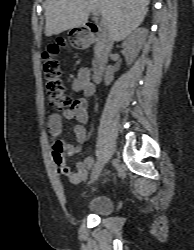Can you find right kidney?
Masks as SVG:
<instances>
[{
	"instance_id": "1",
	"label": "right kidney",
	"mask_w": 194,
	"mask_h": 250,
	"mask_svg": "<svg viewBox=\"0 0 194 250\" xmlns=\"http://www.w3.org/2000/svg\"><path fill=\"white\" fill-rule=\"evenodd\" d=\"M146 36L145 29L135 30L123 43V54L126 58L127 65H130L138 56V53L142 49ZM115 69L112 66H108L105 72V85H109L114 79Z\"/></svg>"
}]
</instances>
